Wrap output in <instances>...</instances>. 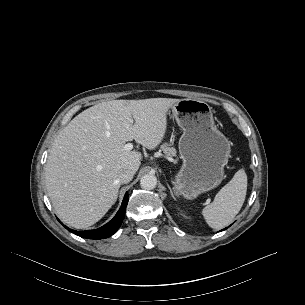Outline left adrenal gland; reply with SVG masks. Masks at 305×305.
<instances>
[{
  "label": "left adrenal gland",
  "mask_w": 305,
  "mask_h": 305,
  "mask_svg": "<svg viewBox=\"0 0 305 305\" xmlns=\"http://www.w3.org/2000/svg\"><path fill=\"white\" fill-rule=\"evenodd\" d=\"M168 188H169V190H170L171 196H172L173 198H175L174 195H173L172 189H171V187H170L169 185H168Z\"/></svg>",
  "instance_id": "1"
}]
</instances>
